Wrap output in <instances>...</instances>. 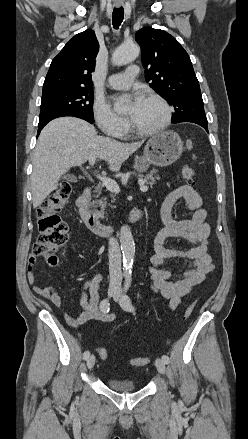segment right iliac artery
<instances>
[{
    "instance_id": "1",
    "label": "right iliac artery",
    "mask_w": 248,
    "mask_h": 439,
    "mask_svg": "<svg viewBox=\"0 0 248 439\" xmlns=\"http://www.w3.org/2000/svg\"><path fill=\"white\" fill-rule=\"evenodd\" d=\"M109 305L110 304H109V300L108 299L102 300L101 303H100V310L103 313H108L109 312ZM89 356H90V351H85L83 353V359L86 360Z\"/></svg>"
}]
</instances>
